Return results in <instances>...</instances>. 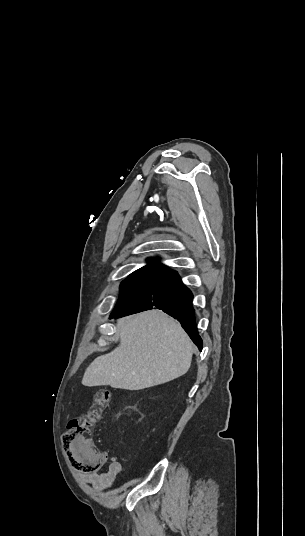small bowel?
<instances>
[{
  "label": "small bowel",
  "mask_w": 305,
  "mask_h": 536,
  "mask_svg": "<svg viewBox=\"0 0 305 536\" xmlns=\"http://www.w3.org/2000/svg\"><path fill=\"white\" fill-rule=\"evenodd\" d=\"M122 473L120 462L113 460L105 472L94 474L80 473L79 478L86 483H90L97 490H106L110 488L116 478Z\"/></svg>",
  "instance_id": "small-bowel-1"
}]
</instances>
